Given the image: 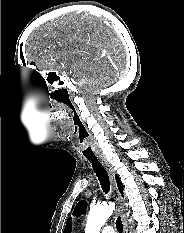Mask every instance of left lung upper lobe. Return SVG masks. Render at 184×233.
I'll list each match as a JSON object with an SVG mask.
<instances>
[{"label":"left lung upper lobe","instance_id":"5c2ea615","mask_svg":"<svg viewBox=\"0 0 184 233\" xmlns=\"http://www.w3.org/2000/svg\"><path fill=\"white\" fill-rule=\"evenodd\" d=\"M86 207H87V202L85 200H82L77 204L74 213L77 216H80L85 211Z\"/></svg>","mask_w":184,"mask_h":233}]
</instances>
